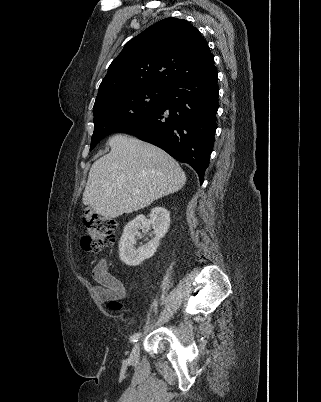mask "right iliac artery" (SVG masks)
<instances>
[{
  "instance_id": "obj_1",
  "label": "right iliac artery",
  "mask_w": 321,
  "mask_h": 402,
  "mask_svg": "<svg viewBox=\"0 0 321 402\" xmlns=\"http://www.w3.org/2000/svg\"><path fill=\"white\" fill-rule=\"evenodd\" d=\"M141 333H135L132 337H131V342H137L138 339L140 338Z\"/></svg>"
}]
</instances>
